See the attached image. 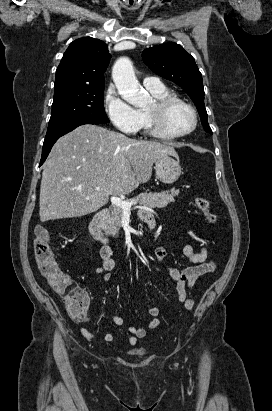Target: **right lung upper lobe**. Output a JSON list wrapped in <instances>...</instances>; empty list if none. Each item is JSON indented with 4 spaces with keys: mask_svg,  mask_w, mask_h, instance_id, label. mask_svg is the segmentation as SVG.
Returning a JSON list of instances; mask_svg holds the SVG:
<instances>
[{
    "mask_svg": "<svg viewBox=\"0 0 272 411\" xmlns=\"http://www.w3.org/2000/svg\"><path fill=\"white\" fill-rule=\"evenodd\" d=\"M111 54L108 46L91 37L73 41L56 70L54 93L66 89L104 85Z\"/></svg>",
    "mask_w": 272,
    "mask_h": 411,
    "instance_id": "obj_1",
    "label": "right lung upper lobe"
}]
</instances>
